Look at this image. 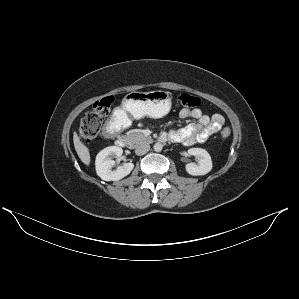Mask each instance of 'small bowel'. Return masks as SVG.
<instances>
[{"label": "small bowel", "mask_w": 299, "mask_h": 299, "mask_svg": "<svg viewBox=\"0 0 299 299\" xmlns=\"http://www.w3.org/2000/svg\"><path fill=\"white\" fill-rule=\"evenodd\" d=\"M182 119H195V123H190L185 127L171 131L168 138L176 143L189 146L196 143L205 142L210 136L222 130L225 124V119L220 114L208 115L203 113L200 109H182L179 113ZM114 120L118 123L119 117L116 116Z\"/></svg>", "instance_id": "obj_1"}]
</instances>
